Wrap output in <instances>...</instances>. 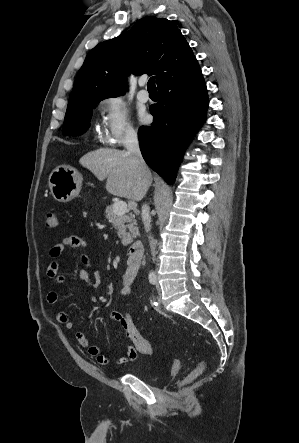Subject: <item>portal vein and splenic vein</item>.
<instances>
[{
	"label": "portal vein and splenic vein",
	"mask_w": 299,
	"mask_h": 443,
	"mask_svg": "<svg viewBox=\"0 0 299 443\" xmlns=\"http://www.w3.org/2000/svg\"><path fill=\"white\" fill-rule=\"evenodd\" d=\"M113 211L115 214L121 216V215L126 214L129 211V209H128L126 202L118 201V202L114 203Z\"/></svg>",
	"instance_id": "1"
}]
</instances>
